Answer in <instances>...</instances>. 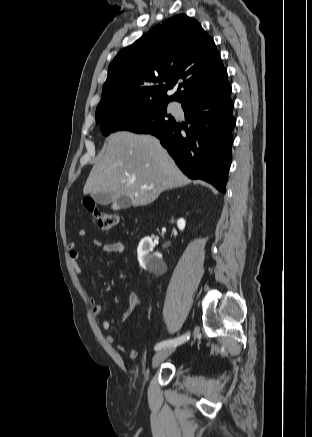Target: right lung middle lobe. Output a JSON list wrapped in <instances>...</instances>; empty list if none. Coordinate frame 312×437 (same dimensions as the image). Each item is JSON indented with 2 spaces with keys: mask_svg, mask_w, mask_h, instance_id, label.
<instances>
[{
  "mask_svg": "<svg viewBox=\"0 0 312 437\" xmlns=\"http://www.w3.org/2000/svg\"><path fill=\"white\" fill-rule=\"evenodd\" d=\"M167 104L156 101L125 106L96 120V123H100L104 135L116 131L154 133L175 123V119L166 113Z\"/></svg>",
  "mask_w": 312,
  "mask_h": 437,
  "instance_id": "obj_1",
  "label": "right lung middle lobe"
}]
</instances>
